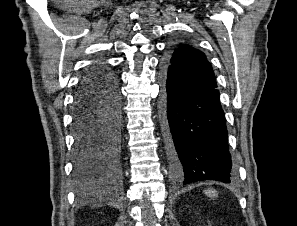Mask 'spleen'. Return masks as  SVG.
<instances>
[{
    "label": "spleen",
    "instance_id": "spleen-1",
    "mask_svg": "<svg viewBox=\"0 0 297 226\" xmlns=\"http://www.w3.org/2000/svg\"><path fill=\"white\" fill-rule=\"evenodd\" d=\"M204 193L211 198L218 197L217 192L213 188H207L204 190Z\"/></svg>",
    "mask_w": 297,
    "mask_h": 226
}]
</instances>
